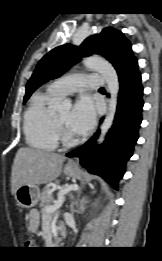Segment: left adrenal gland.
I'll use <instances>...</instances> for the list:
<instances>
[{
    "label": "left adrenal gland",
    "instance_id": "left-adrenal-gland-1",
    "mask_svg": "<svg viewBox=\"0 0 162 261\" xmlns=\"http://www.w3.org/2000/svg\"><path fill=\"white\" fill-rule=\"evenodd\" d=\"M82 201H83V203H86V202H88V201H87V199H85V198H83V200H82Z\"/></svg>",
    "mask_w": 162,
    "mask_h": 261
}]
</instances>
